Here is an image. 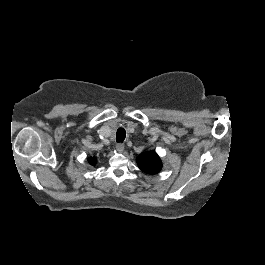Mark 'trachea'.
Segmentation results:
<instances>
[{"mask_svg":"<svg viewBox=\"0 0 265 265\" xmlns=\"http://www.w3.org/2000/svg\"><path fill=\"white\" fill-rule=\"evenodd\" d=\"M126 137V131L123 128H119L116 132V141L122 143Z\"/></svg>","mask_w":265,"mask_h":265,"instance_id":"trachea-1","label":"trachea"}]
</instances>
